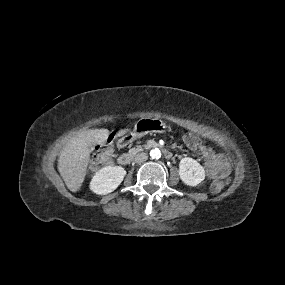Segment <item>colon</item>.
Instances as JSON below:
<instances>
[{
	"instance_id": "5ec220e1",
	"label": "colon",
	"mask_w": 285,
	"mask_h": 285,
	"mask_svg": "<svg viewBox=\"0 0 285 285\" xmlns=\"http://www.w3.org/2000/svg\"><path fill=\"white\" fill-rule=\"evenodd\" d=\"M183 141L185 144L188 145L191 149H200L203 147L204 142L200 138H196L195 136L191 134H187L184 136ZM112 158H111V150L108 146H105L98 150L96 154L93 157L91 168L95 169L101 166L109 165L111 164ZM229 178L228 174L222 175L218 177L211 185L212 192H219L221 191L228 183Z\"/></svg>"
}]
</instances>
